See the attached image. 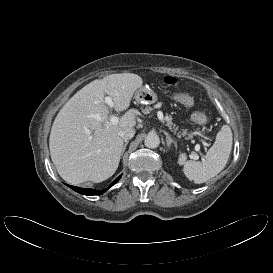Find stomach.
<instances>
[{"mask_svg": "<svg viewBox=\"0 0 273 273\" xmlns=\"http://www.w3.org/2000/svg\"><path fill=\"white\" fill-rule=\"evenodd\" d=\"M135 100L141 104H152L157 100L155 93L147 87H140L134 95Z\"/></svg>", "mask_w": 273, "mask_h": 273, "instance_id": "obj_1", "label": "stomach"}]
</instances>
